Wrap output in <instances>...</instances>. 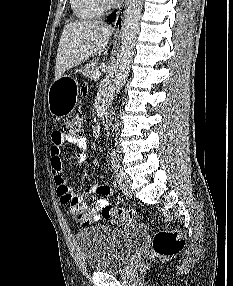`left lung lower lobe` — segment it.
Segmentation results:
<instances>
[{"mask_svg":"<svg viewBox=\"0 0 233 286\" xmlns=\"http://www.w3.org/2000/svg\"><path fill=\"white\" fill-rule=\"evenodd\" d=\"M115 18H116V13H113V14L109 15V17L107 18V20H108L109 22H113V21L115 20Z\"/></svg>","mask_w":233,"mask_h":286,"instance_id":"left-lung-lower-lobe-1","label":"left lung lower lobe"}]
</instances>
